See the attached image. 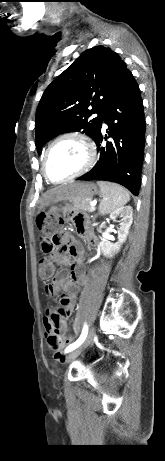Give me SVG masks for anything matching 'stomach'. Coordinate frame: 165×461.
Returning <instances> with one entry per match:
<instances>
[{
  "label": "stomach",
  "instance_id": "stomach-1",
  "mask_svg": "<svg viewBox=\"0 0 165 461\" xmlns=\"http://www.w3.org/2000/svg\"><path fill=\"white\" fill-rule=\"evenodd\" d=\"M97 192V186L92 182L68 183L50 192L45 204L43 205L42 210H44L45 207H48L60 201L73 200L77 198L92 199L93 196L97 194Z\"/></svg>",
  "mask_w": 165,
  "mask_h": 461
}]
</instances>
